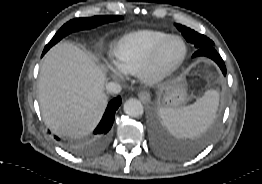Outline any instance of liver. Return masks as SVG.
I'll list each match as a JSON object with an SVG mask.
<instances>
[{"mask_svg":"<svg viewBox=\"0 0 262 184\" xmlns=\"http://www.w3.org/2000/svg\"><path fill=\"white\" fill-rule=\"evenodd\" d=\"M106 74L94 60L69 42L46 54L38 80V99L45 124L69 138L90 133L99 122L108 99Z\"/></svg>","mask_w":262,"mask_h":184,"instance_id":"1","label":"liver"}]
</instances>
